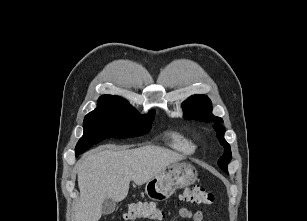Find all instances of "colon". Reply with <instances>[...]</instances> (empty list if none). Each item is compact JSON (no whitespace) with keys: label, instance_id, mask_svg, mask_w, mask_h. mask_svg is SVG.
Listing matches in <instances>:
<instances>
[{"label":"colon","instance_id":"colon-1","mask_svg":"<svg viewBox=\"0 0 307 221\" xmlns=\"http://www.w3.org/2000/svg\"><path fill=\"white\" fill-rule=\"evenodd\" d=\"M180 200L201 205H212L215 202V196L204 187L194 186L185 188L180 194ZM162 217L163 211L157 204L151 201H139L129 205L124 220H160Z\"/></svg>","mask_w":307,"mask_h":221}]
</instances>
